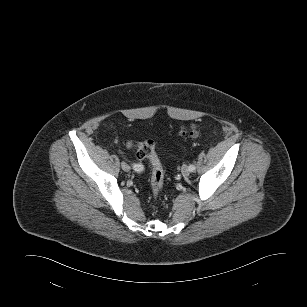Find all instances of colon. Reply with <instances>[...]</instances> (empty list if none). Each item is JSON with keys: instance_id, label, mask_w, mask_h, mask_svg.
Segmentation results:
<instances>
[{"instance_id": "1", "label": "colon", "mask_w": 307, "mask_h": 307, "mask_svg": "<svg viewBox=\"0 0 307 307\" xmlns=\"http://www.w3.org/2000/svg\"><path fill=\"white\" fill-rule=\"evenodd\" d=\"M179 134L197 137L199 135V130L194 125L190 126L189 128L181 127L179 129ZM132 146L135 148L136 157L140 160H148L152 166L151 187L153 195L157 197L164 185V172L161 162L155 152L154 142L152 140H146L135 144L132 142H127L125 144L126 148H130Z\"/></svg>"}]
</instances>
